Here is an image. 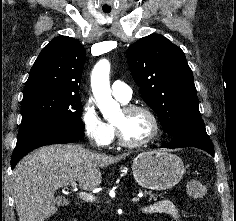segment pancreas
I'll return each instance as SVG.
<instances>
[{
    "label": "pancreas",
    "mask_w": 236,
    "mask_h": 221,
    "mask_svg": "<svg viewBox=\"0 0 236 221\" xmlns=\"http://www.w3.org/2000/svg\"><path fill=\"white\" fill-rule=\"evenodd\" d=\"M146 194H149L150 195V199H153V200H156L157 199V195H155V194H152L151 192H146Z\"/></svg>",
    "instance_id": "1"
}]
</instances>
